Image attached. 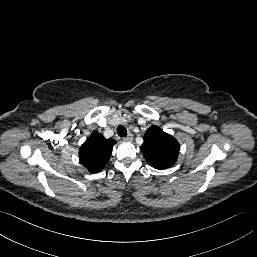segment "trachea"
<instances>
[{
	"label": "trachea",
	"mask_w": 257,
	"mask_h": 257,
	"mask_svg": "<svg viewBox=\"0 0 257 257\" xmlns=\"http://www.w3.org/2000/svg\"><path fill=\"white\" fill-rule=\"evenodd\" d=\"M117 133L119 136L125 137L127 136V129L124 126L120 125L117 127Z\"/></svg>",
	"instance_id": "trachea-1"
}]
</instances>
